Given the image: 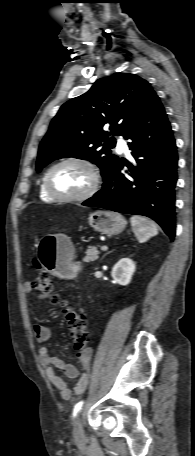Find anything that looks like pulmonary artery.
I'll return each instance as SVG.
<instances>
[{
  "mask_svg": "<svg viewBox=\"0 0 195 456\" xmlns=\"http://www.w3.org/2000/svg\"><path fill=\"white\" fill-rule=\"evenodd\" d=\"M117 150L119 152H126L128 150L127 144L125 140L119 139L117 142Z\"/></svg>",
  "mask_w": 195,
  "mask_h": 456,
  "instance_id": "e3ab8cb5",
  "label": "pulmonary artery"
}]
</instances>
